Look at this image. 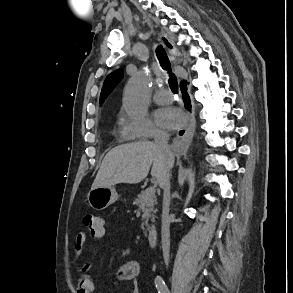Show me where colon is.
I'll return each instance as SVG.
<instances>
[{
    "mask_svg": "<svg viewBox=\"0 0 293 293\" xmlns=\"http://www.w3.org/2000/svg\"><path fill=\"white\" fill-rule=\"evenodd\" d=\"M83 226L91 233H99L104 224V220L101 216L94 213H86L82 218Z\"/></svg>",
    "mask_w": 293,
    "mask_h": 293,
    "instance_id": "1",
    "label": "colon"
}]
</instances>
